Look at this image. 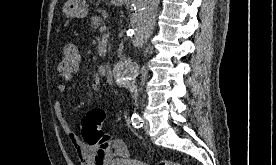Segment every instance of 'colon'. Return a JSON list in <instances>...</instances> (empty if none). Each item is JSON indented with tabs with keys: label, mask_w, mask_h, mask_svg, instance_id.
<instances>
[{
	"label": "colon",
	"mask_w": 276,
	"mask_h": 165,
	"mask_svg": "<svg viewBox=\"0 0 276 165\" xmlns=\"http://www.w3.org/2000/svg\"><path fill=\"white\" fill-rule=\"evenodd\" d=\"M80 56L76 45L67 43L61 53L58 64V73L64 76H72L79 67ZM105 119V111L101 108L90 110L81 122L82 134L86 143L98 149L102 154L114 153L119 157L125 155L124 148L118 143V139L106 134L102 129ZM158 165H181L178 162L169 160H160Z\"/></svg>",
	"instance_id": "5ec220e1"
}]
</instances>
